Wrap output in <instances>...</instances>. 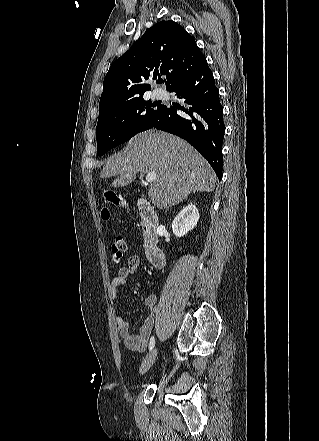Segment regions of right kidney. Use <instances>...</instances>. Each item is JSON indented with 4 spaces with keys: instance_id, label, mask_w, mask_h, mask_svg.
<instances>
[{
    "instance_id": "obj_1",
    "label": "right kidney",
    "mask_w": 319,
    "mask_h": 441,
    "mask_svg": "<svg viewBox=\"0 0 319 441\" xmlns=\"http://www.w3.org/2000/svg\"><path fill=\"white\" fill-rule=\"evenodd\" d=\"M199 220V212L194 204H188L174 218L172 230L175 236L182 237L193 230Z\"/></svg>"
}]
</instances>
